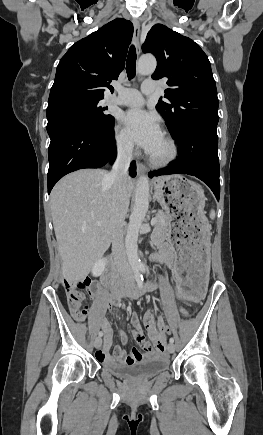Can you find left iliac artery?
I'll list each match as a JSON object with an SVG mask.
<instances>
[{
  "label": "left iliac artery",
  "mask_w": 263,
  "mask_h": 435,
  "mask_svg": "<svg viewBox=\"0 0 263 435\" xmlns=\"http://www.w3.org/2000/svg\"><path fill=\"white\" fill-rule=\"evenodd\" d=\"M140 270H141V272L145 273V272H146V268H145V266H144V265H141V266H140ZM169 342H170V343H174V338L171 337V338L169 339Z\"/></svg>",
  "instance_id": "left-iliac-artery-1"
}]
</instances>
